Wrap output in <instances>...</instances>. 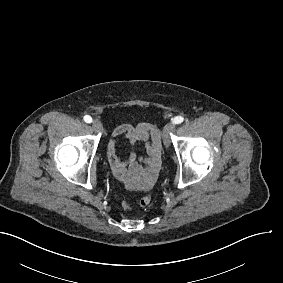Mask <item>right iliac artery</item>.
<instances>
[{
	"mask_svg": "<svg viewBox=\"0 0 283 283\" xmlns=\"http://www.w3.org/2000/svg\"><path fill=\"white\" fill-rule=\"evenodd\" d=\"M84 121L86 123H91L92 122V118L89 115L84 116Z\"/></svg>",
	"mask_w": 283,
	"mask_h": 283,
	"instance_id": "obj_1",
	"label": "right iliac artery"
}]
</instances>
